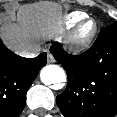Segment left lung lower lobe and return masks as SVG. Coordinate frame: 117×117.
Masks as SVG:
<instances>
[{
    "mask_svg": "<svg viewBox=\"0 0 117 117\" xmlns=\"http://www.w3.org/2000/svg\"><path fill=\"white\" fill-rule=\"evenodd\" d=\"M51 53L68 75L57 96L65 117H114L117 114V22L102 30L92 47L68 55L59 44Z\"/></svg>",
    "mask_w": 117,
    "mask_h": 117,
    "instance_id": "obj_1",
    "label": "left lung lower lobe"
}]
</instances>
